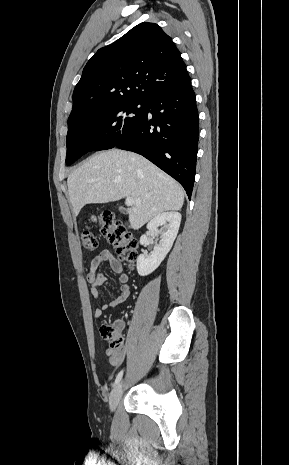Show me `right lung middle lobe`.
<instances>
[{
    "label": "right lung middle lobe",
    "instance_id": "obj_1",
    "mask_svg": "<svg viewBox=\"0 0 289 465\" xmlns=\"http://www.w3.org/2000/svg\"><path fill=\"white\" fill-rule=\"evenodd\" d=\"M145 100L97 102L84 107L80 120L68 129L66 164L89 151L111 149L143 119Z\"/></svg>",
    "mask_w": 289,
    "mask_h": 465
}]
</instances>
